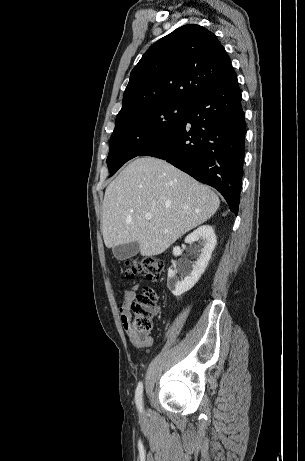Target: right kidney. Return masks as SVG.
I'll return each instance as SVG.
<instances>
[{
	"instance_id": "ca27d5eb",
	"label": "right kidney",
	"mask_w": 305,
	"mask_h": 461,
	"mask_svg": "<svg viewBox=\"0 0 305 461\" xmlns=\"http://www.w3.org/2000/svg\"><path fill=\"white\" fill-rule=\"evenodd\" d=\"M199 239L203 240L204 245L201 249L199 258L192 266V271L186 268L181 272V279H179L177 270L173 268H169L168 270L167 287L175 296H180L189 291L198 282L211 258L212 252L216 246V235L213 228L209 225L200 226L186 236L185 242L193 243ZM181 253L182 250L179 246L173 248L174 256H180Z\"/></svg>"
}]
</instances>
